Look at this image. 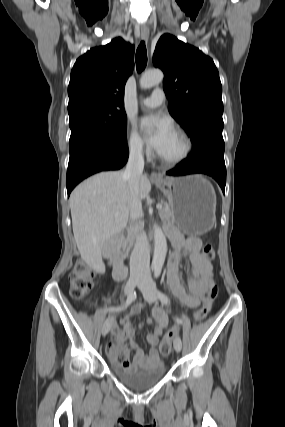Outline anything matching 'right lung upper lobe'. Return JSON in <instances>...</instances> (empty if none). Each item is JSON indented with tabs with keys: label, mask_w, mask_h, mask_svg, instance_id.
<instances>
[{
	"label": "right lung upper lobe",
	"mask_w": 285,
	"mask_h": 427,
	"mask_svg": "<svg viewBox=\"0 0 285 427\" xmlns=\"http://www.w3.org/2000/svg\"><path fill=\"white\" fill-rule=\"evenodd\" d=\"M134 67V46L122 38L79 57L68 87L69 115L86 109L124 111V87Z\"/></svg>",
	"instance_id": "right-lung-upper-lobe-1"
}]
</instances>
